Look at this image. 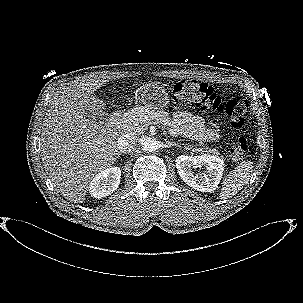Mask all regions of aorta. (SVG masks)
I'll use <instances>...</instances> for the list:
<instances>
[{
	"instance_id": "1",
	"label": "aorta",
	"mask_w": 303,
	"mask_h": 303,
	"mask_svg": "<svg viewBox=\"0 0 303 303\" xmlns=\"http://www.w3.org/2000/svg\"><path fill=\"white\" fill-rule=\"evenodd\" d=\"M142 148L146 152H154L158 148V141L152 137H146L141 142Z\"/></svg>"
}]
</instances>
